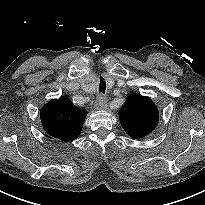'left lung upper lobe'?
Returning a JSON list of instances; mask_svg holds the SVG:
<instances>
[{
  "label": "left lung upper lobe",
  "instance_id": "1",
  "mask_svg": "<svg viewBox=\"0 0 205 205\" xmlns=\"http://www.w3.org/2000/svg\"><path fill=\"white\" fill-rule=\"evenodd\" d=\"M158 109L149 97L139 94L128 96L119 110L120 123L132 138H143L152 132L158 124Z\"/></svg>",
  "mask_w": 205,
  "mask_h": 205
}]
</instances>
